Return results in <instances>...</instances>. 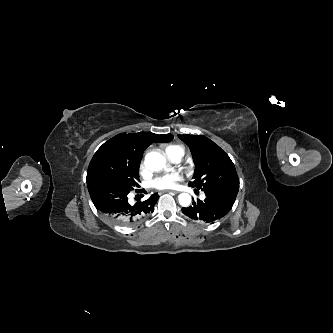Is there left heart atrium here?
<instances>
[{"label": "left heart atrium", "mask_w": 333, "mask_h": 333, "mask_svg": "<svg viewBox=\"0 0 333 333\" xmlns=\"http://www.w3.org/2000/svg\"><path fill=\"white\" fill-rule=\"evenodd\" d=\"M182 179L181 175L172 172L162 176L156 177L152 181V186L158 190L172 189L177 186L178 182Z\"/></svg>", "instance_id": "39dd6f15"}]
</instances>
